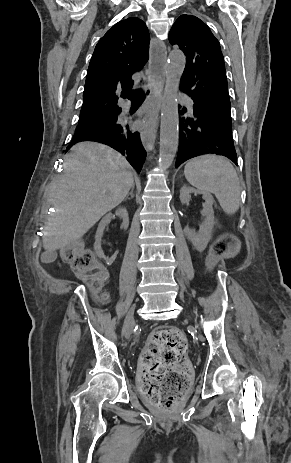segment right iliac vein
I'll use <instances>...</instances> for the list:
<instances>
[{
	"label": "right iliac vein",
	"mask_w": 291,
	"mask_h": 463,
	"mask_svg": "<svg viewBox=\"0 0 291 463\" xmlns=\"http://www.w3.org/2000/svg\"><path fill=\"white\" fill-rule=\"evenodd\" d=\"M133 325H134V307H132L126 315V319H125L124 327H123L124 337H128L131 334Z\"/></svg>",
	"instance_id": "1"
}]
</instances>
